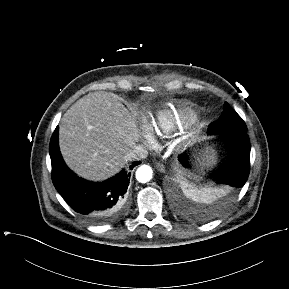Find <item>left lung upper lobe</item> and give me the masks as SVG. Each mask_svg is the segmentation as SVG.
<instances>
[{"instance_id":"1","label":"left lung upper lobe","mask_w":289,"mask_h":289,"mask_svg":"<svg viewBox=\"0 0 289 289\" xmlns=\"http://www.w3.org/2000/svg\"><path fill=\"white\" fill-rule=\"evenodd\" d=\"M228 130H247L246 124L241 117L228 105L224 104L221 117L208 127L209 134H217Z\"/></svg>"}]
</instances>
